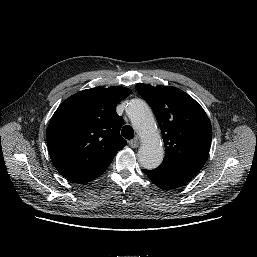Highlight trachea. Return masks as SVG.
<instances>
[{"label": "trachea", "mask_w": 257, "mask_h": 257, "mask_svg": "<svg viewBox=\"0 0 257 257\" xmlns=\"http://www.w3.org/2000/svg\"><path fill=\"white\" fill-rule=\"evenodd\" d=\"M121 134L123 135V137L125 139L130 140V139H133V137H134V130L130 125H125L122 128Z\"/></svg>", "instance_id": "trachea-1"}]
</instances>
